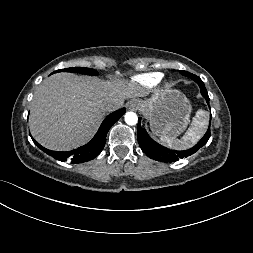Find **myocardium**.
<instances>
[{"label":"myocardium","mask_w":253,"mask_h":253,"mask_svg":"<svg viewBox=\"0 0 253 253\" xmlns=\"http://www.w3.org/2000/svg\"><path fill=\"white\" fill-rule=\"evenodd\" d=\"M163 85L165 87H168L170 85V82L168 80L163 81Z\"/></svg>","instance_id":"1"}]
</instances>
